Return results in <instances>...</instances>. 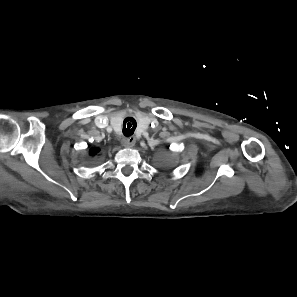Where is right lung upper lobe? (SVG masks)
Returning a JSON list of instances; mask_svg holds the SVG:
<instances>
[{"label":"right lung upper lobe","instance_id":"1","mask_svg":"<svg viewBox=\"0 0 297 297\" xmlns=\"http://www.w3.org/2000/svg\"><path fill=\"white\" fill-rule=\"evenodd\" d=\"M99 150L97 148H94L90 151V154L94 155L98 152Z\"/></svg>","mask_w":297,"mask_h":297}]
</instances>
